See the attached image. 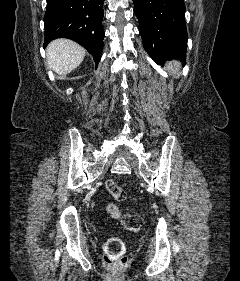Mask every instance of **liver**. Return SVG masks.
Listing matches in <instances>:
<instances>
[{"mask_svg":"<svg viewBox=\"0 0 240 281\" xmlns=\"http://www.w3.org/2000/svg\"><path fill=\"white\" fill-rule=\"evenodd\" d=\"M85 53V49L74 41L56 39L47 46V63L57 74L66 75L82 63Z\"/></svg>","mask_w":240,"mask_h":281,"instance_id":"obj_1","label":"liver"}]
</instances>
